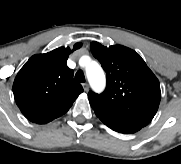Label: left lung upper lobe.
<instances>
[{"label": "left lung upper lobe", "instance_id": "obj_1", "mask_svg": "<svg viewBox=\"0 0 181 164\" xmlns=\"http://www.w3.org/2000/svg\"><path fill=\"white\" fill-rule=\"evenodd\" d=\"M107 76L104 92L89 91L91 107L145 127L158 110L160 84L144 60L134 50L122 45L109 48L98 42L90 44Z\"/></svg>", "mask_w": 181, "mask_h": 164}]
</instances>
